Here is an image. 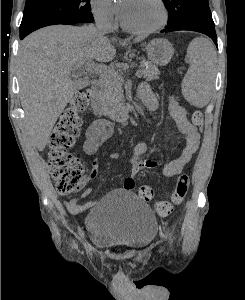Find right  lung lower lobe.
Masks as SVG:
<instances>
[{"label": "right lung lower lobe", "mask_w": 245, "mask_h": 300, "mask_svg": "<svg viewBox=\"0 0 245 300\" xmlns=\"http://www.w3.org/2000/svg\"><path fill=\"white\" fill-rule=\"evenodd\" d=\"M67 25H74V24H67ZM28 34H23V35H20V39H23L25 36H27Z\"/></svg>", "instance_id": "obj_1"}]
</instances>
